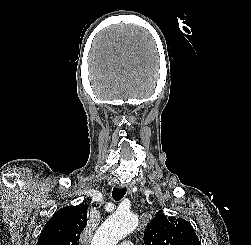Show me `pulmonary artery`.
<instances>
[{
    "instance_id": "e3ab8cb5",
    "label": "pulmonary artery",
    "mask_w": 251,
    "mask_h": 245,
    "mask_svg": "<svg viewBox=\"0 0 251 245\" xmlns=\"http://www.w3.org/2000/svg\"><path fill=\"white\" fill-rule=\"evenodd\" d=\"M120 245H133V244L128 241H125V242L121 243Z\"/></svg>"
}]
</instances>
